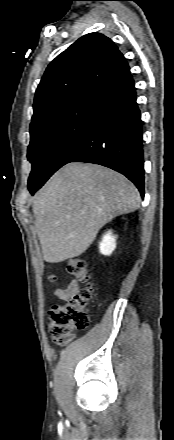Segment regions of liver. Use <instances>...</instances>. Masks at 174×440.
<instances>
[{
    "label": "liver",
    "instance_id": "liver-1",
    "mask_svg": "<svg viewBox=\"0 0 174 440\" xmlns=\"http://www.w3.org/2000/svg\"><path fill=\"white\" fill-rule=\"evenodd\" d=\"M140 200L135 185L112 169L65 165L33 201L34 226L44 260L59 263L80 256L106 223L135 211Z\"/></svg>",
    "mask_w": 174,
    "mask_h": 440
}]
</instances>
